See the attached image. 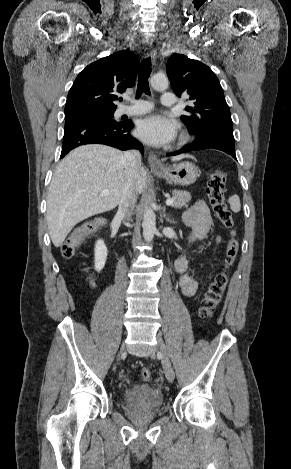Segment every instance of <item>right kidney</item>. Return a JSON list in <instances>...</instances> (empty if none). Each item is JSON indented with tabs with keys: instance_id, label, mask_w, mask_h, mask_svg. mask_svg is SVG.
<instances>
[{
	"instance_id": "1",
	"label": "right kidney",
	"mask_w": 291,
	"mask_h": 469,
	"mask_svg": "<svg viewBox=\"0 0 291 469\" xmlns=\"http://www.w3.org/2000/svg\"><path fill=\"white\" fill-rule=\"evenodd\" d=\"M107 247L103 240H98L95 244V269L101 271L106 263L107 259Z\"/></svg>"
}]
</instances>
